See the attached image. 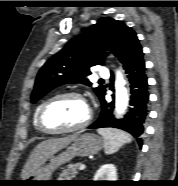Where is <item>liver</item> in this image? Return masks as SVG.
I'll return each mask as SVG.
<instances>
[{"instance_id": "1", "label": "liver", "mask_w": 178, "mask_h": 186, "mask_svg": "<svg viewBox=\"0 0 178 186\" xmlns=\"http://www.w3.org/2000/svg\"><path fill=\"white\" fill-rule=\"evenodd\" d=\"M78 137L77 134L48 139L39 143L26 161L21 178L26 180L32 173H34L41 165H43L52 155L59 150L68 146L72 141Z\"/></svg>"}]
</instances>
